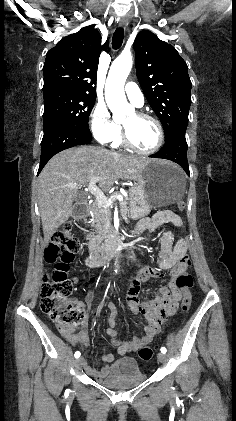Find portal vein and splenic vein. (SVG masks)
Here are the masks:
<instances>
[{
  "label": "portal vein and splenic vein",
  "instance_id": "18ae733b",
  "mask_svg": "<svg viewBox=\"0 0 236 421\" xmlns=\"http://www.w3.org/2000/svg\"><path fill=\"white\" fill-rule=\"evenodd\" d=\"M98 180H101V176H94V178H91V180H89L88 188H84V190H90L91 194L96 196L98 204L108 208V206H111L112 202L110 198H106L104 192H102L101 188L97 186L96 182H98ZM67 186H70V188H78L79 184H67ZM115 198L123 200L122 194H116Z\"/></svg>",
  "mask_w": 236,
  "mask_h": 421
}]
</instances>
